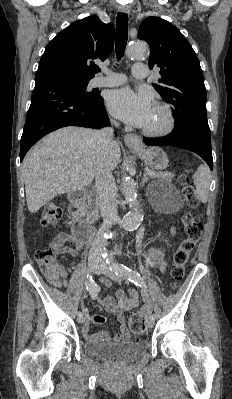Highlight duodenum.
<instances>
[{
  "mask_svg": "<svg viewBox=\"0 0 232 399\" xmlns=\"http://www.w3.org/2000/svg\"><path fill=\"white\" fill-rule=\"evenodd\" d=\"M85 200V191L76 190L69 196L70 215L72 218V234L82 243H87L92 239L94 227L82 217V209Z\"/></svg>",
  "mask_w": 232,
  "mask_h": 399,
  "instance_id": "410a0bca",
  "label": "duodenum"
}]
</instances>
